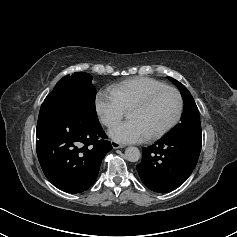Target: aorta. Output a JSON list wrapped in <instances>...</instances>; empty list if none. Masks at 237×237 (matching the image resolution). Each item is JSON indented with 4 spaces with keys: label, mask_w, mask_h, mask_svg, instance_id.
<instances>
[{
    "label": "aorta",
    "mask_w": 237,
    "mask_h": 237,
    "mask_svg": "<svg viewBox=\"0 0 237 237\" xmlns=\"http://www.w3.org/2000/svg\"><path fill=\"white\" fill-rule=\"evenodd\" d=\"M141 157L140 151L137 147L130 146L125 150V159L130 162H137Z\"/></svg>",
    "instance_id": "aorta-1"
}]
</instances>
